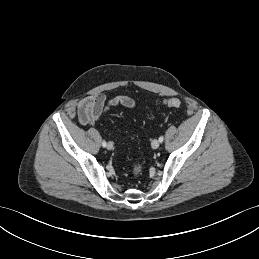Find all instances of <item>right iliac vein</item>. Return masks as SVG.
<instances>
[{"label": "right iliac vein", "mask_w": 259, "mask_h": 259, "mask_svg": "<svg viewBox=\"0 0 259 259\" xmlns=\"http://www.w3.org/2000/svg\"><path fill=\"white\" fill-rule=\"evenodd\" d=\"M107 149H109V150L113 149V143L112 142H108Z\"/></svg>", "instance_id": "right-iliac-vein-1"}]
</instances>
